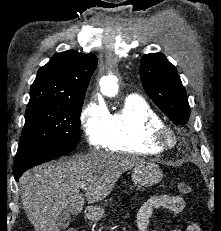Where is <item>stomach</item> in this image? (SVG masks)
Masks as SVG:
<instances>
[{
  "label": "stomach",
  "mask_w": 221,
  "mask_h": 231,
  "mask_svg": "<svg viewBox=\"0 0 221 231\" xmlns=\"http://www.w3.org/2000/svg\"><path fill=\"white\" fill-rule=\"evenodd\" d=\"M163 178V172L159 166L153 162L142 161L134 166L132 170V179L138 186H153L159 183ZM104 216V209L94 207L90 210L88 217L97 222Z\"/></svg>",
  "instance_id": "obj_1"
}]
</instances>
